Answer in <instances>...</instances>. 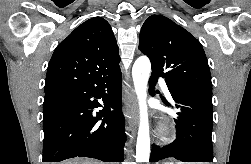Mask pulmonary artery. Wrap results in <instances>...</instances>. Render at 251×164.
Here are the masks:
<instances>
[{"label":"pulmonary artery","mask_w":251,"mask_h":164,"mask_svg":"<svg viewBox=\"0 0 251 164\" xmlns=\"http://www.w3.org/2000/svg\"><path fill=\"white\" fill-rule=\"evenodd\" d=\"M161 86H162L164 92L167 94V96H170L169 90H168L167 85L164 81H161Z\"/></svg>","instance_id":"1"}]
</instances>
